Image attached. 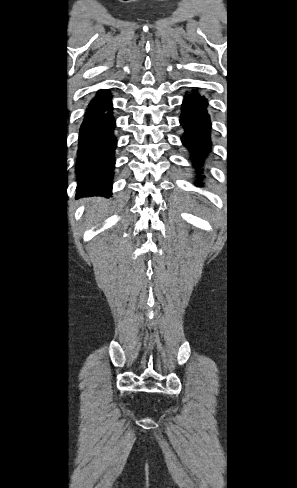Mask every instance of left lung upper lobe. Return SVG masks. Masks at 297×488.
Wrapping results in <instances>:
<instances>
[{"instance_id":"5c2ea615","label":"left lung upper lobe","mask_w":297,"mask_h":488,"mask_svg":"<svg viewBox=\"0 0 297 488\" xmlns=\"http://www.w3.org/2000/svg\"><path fill=\"white\" fill-rule=\"evenodd\" d=\"M65 139H67V138H65ZM66 141H67V140H65V143H67ZM66 145H67V144H66ZM66 147H67V146H66ZM66 149H67V148H66Z\"/></svg>"}]
</instances>
